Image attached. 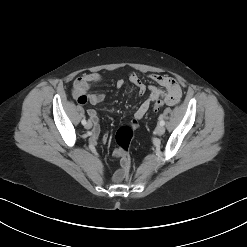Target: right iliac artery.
Here are the masks:
<instances>
[{"instance_id": "82829eb1", "label": "right iliac artery", "mask_w": 247, "mask_h": 247, "mask_svg": "<svg viewBox=\"0 0 247 247\" xmlns=\"http://www.w3.org/2000/svg\"><path fill=\"white\" fill-rule=\"evenodd\" d=\"M81 122L83 125H85L87 123L85 119H83Z\"/></svg>"}]
</instances>
